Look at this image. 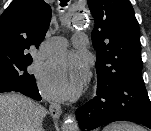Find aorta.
Returning <instances> with one entry per match:
<instances>
[{"label": "aorta", "instance_id": "1", "mask_svg": "<svg viewBox=\"0 0 151 131\" xmlns=\"http://www.w3.org/2000/svg\"><path fill=\"white\" fill-rule=\"evenodd\" d=\"M72 23L73 25L77 27H81L84 24V22L82 21V17L80 15L76 16L72 20ZM78 130H79V127L74 116H72V114H67L64 118L62 131H78Z\"/></svg>", "mask_w": 151, "mask_h": 131}]
</instances>
